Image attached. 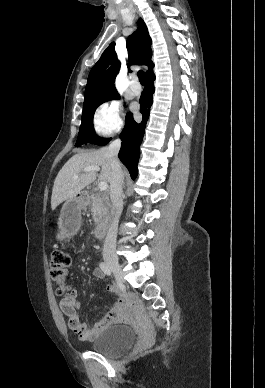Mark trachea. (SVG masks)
Instances as JSON below:
<instances>
[{
    "instance_id": "1",
    "label": "trachea",
    "mask_w": 265,
    "mask_h": 388,
    "mask_svg": "<svg viewBox=\"0 0 265 388\" xmlns=\"http://www.w3.org/2000/svg\"><path fill=\"white\" fill-rule=\"evenodd\" d=\"M138 77H139V81L145 85L147 83V77H146V73L143 72L142 70H139L138 71Z\"/></svg>"
}]
</instances>
